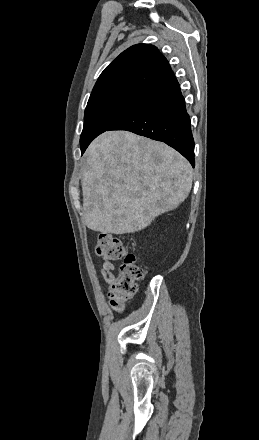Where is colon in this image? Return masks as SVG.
Returning <instances> with one entry per match:
<instances>
[{
    "instance_id": "obj_1",
    "label": "colon",
    "mask_w": 259,
    "mask_h": 440,
    "mask_svg": "<svg viewBox=\"0 0 259 440\" xmlns=\"http://www.w3.org/2000/svg\"><path fill=\"white\" fill-rule=\"evenodd\" d=\"M95 251L105 261H122L118 275L109 287L110 305L116 311H121L137 292V282L144 277V270L138 264L136 256L111 234L99 235Z\"/></svg>"
}]
</instances>
